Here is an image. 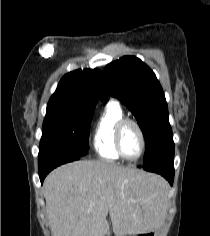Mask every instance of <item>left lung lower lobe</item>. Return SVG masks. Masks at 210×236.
<instances>
[{"label": "left lung lower lobe", "mask_w": 210, "mask_h": 236, "mask_svg": "<svg viewBox=\"0 0 210 236\" xmlns=\"http://www.w3.org/2000/svg\"><path fill=\"white\" fill-rule=\"evenodd\" d=\"M174 142L155 152L150 159L144 161L143 168L146 171L158 173L165 177L170 185L174 179Z\"/></svg>", "instance_id": "obj_1"}]
</instances>
